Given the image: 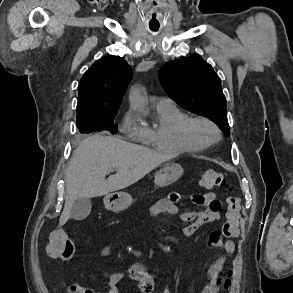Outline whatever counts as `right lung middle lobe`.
I'll list each match as a JSON object with an SVG mask.
<instances>
[{"instance_id": "obj_1", "label": "right lung middle lobe", "mask_w": 293, "mask_h": 293, "mask_svg": "<svg viewBox=\"0 0 293 293\" xmlns=\"http://www.w3.org/2000/svg\"><path fill=\"white\" fill-rule=\"evenodd\" d=\"M116 112L110 114L97 113H78L77 112V127L81 133H90L93 131L109 130L111 133L117 131V126L114 123Z\"/></svg>"}]
</instances>
